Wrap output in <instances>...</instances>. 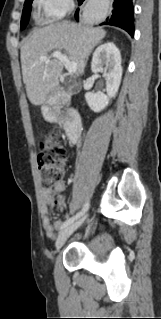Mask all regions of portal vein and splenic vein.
<instances>
[{"label":"portal vein and splenic vein","mask_w":161,"mask_h":319,"mask_svg":"<svg viewBox=\"0 0 161 319\" xmlns=\"http://www.w3.org/2000/svg\"><path fill=\"white\" fill-rule=\"evenodd\" d=\"M56 58V59H59L63 65L65 66V68L67 69V71L70 73V74H73L76 72L77 70V64L76 62L74 61H70V59L67 57V55L65 54H62L60 51H55L51 54V56H47V55H44V56H41L39 58L40 61H46L50 58Z\"/></svg>","instance_id":"18ae733b"}]
</instances>
